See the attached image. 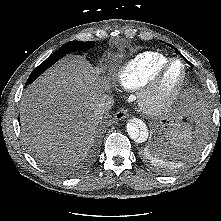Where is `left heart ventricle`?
Wrapping results in <instances>:
<instances>
[{
  "label": "left heart ventricle",
  "instance_id": "left-heart-ventricle-1",
  "mask_svg": "<svg viewBox=\"0 0 221 221\" xmlns=\"http://www.w3.org/2000/svg\"><path fill=\"white\" fill-rule=\"evenodd\" d=\"M182 75V68L180 64H174L166 75L162 87V94L168 95L172 93L178 86Z\"/></svg>",
  "mask_w": 221,
  "mask_h": 221
}]
</instances>
